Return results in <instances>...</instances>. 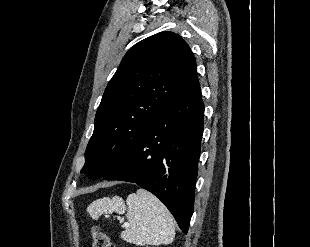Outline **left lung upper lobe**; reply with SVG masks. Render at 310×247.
I'll return each instance as SVG.
<instances>
[{
  "label": "left lung upper lobe",
  "mask_w": 310,
  "mask_h": 247,
  "mask_svg": "<svg viewBox=\"0 0 310 247\" xmlns=\"http://www.w3.org/2000/svg\"><path fill=\"white\" fill-rule=\"evenodd\" d=\"M196 81V61L179 35L161 32L135 44L105 89L81 173L95 180L121 164Z\"/></svg>",
  "instance_id": "left-lung-upper-lobe-1"
}]
</instances>
